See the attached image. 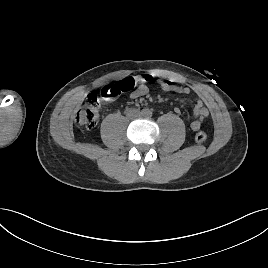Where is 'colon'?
<instances>
[{
    "instance_id": "1",
    "label": "colon",
    "mask_w": 268,
    "mask_h": 268,
    "mask_svg": "<svg viewBox=\"0 0 268 268\" xmlns=\"http://www.w3.org/2000/svg\"><path fill=\"white\" fill-rule=\"evenodd\" d=\"M144 79L149 81L151 77L145 76ZM137 81L138 80L135 77H128L117 83L103 87L100 91V96L95 93L89 94L86 102L76 112V124L86 129L94 128L99 120L101 99L114 100L122 93L132 90ZM206 139L207 135L204 131L200 130L196 132V142L202 143Z\"/></svg>"
}]
</instances>
